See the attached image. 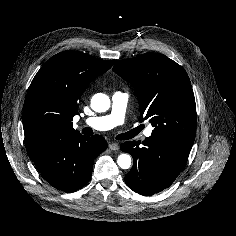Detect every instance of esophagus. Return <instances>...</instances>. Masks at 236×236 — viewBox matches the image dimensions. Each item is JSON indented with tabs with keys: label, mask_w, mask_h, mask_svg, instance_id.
<instances>
[{
	"label": "esophagus",
	"mask_w": 236,
	"mask_h": 236,
	"mask_svg": "<svg viewBox=\"0 0 236 236\" xmlns=\"http://www.w3.org/2000/svg\"><path fill=\"white\" fill-rule=\"evenodd\" d=\"M109 149H110V150H113V151L119 150V145H118V143H116V142L110 143V144H109Z\"/></svg>",
	"instance_id": "obj_1"
}]
</instances>
